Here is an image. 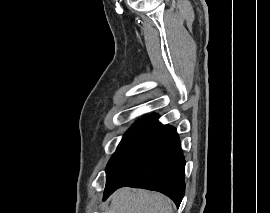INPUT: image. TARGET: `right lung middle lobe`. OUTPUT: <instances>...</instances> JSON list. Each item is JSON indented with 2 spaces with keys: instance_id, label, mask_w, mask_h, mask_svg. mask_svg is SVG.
Here are the masks:
<instances>
[{
  "instance_id": "dd1d6c3e",
  "label": "right lung middle lobe",
  "mask_w": 270,
  "mask_h": 213,
  "mask_svg": "<svg viewBox=\"0 0 270 213\" xmlns=\"http://www.w3.org/2000/svg\"><path fill=\"white\" fill-rule=\"evenodd\" d=\"M147 118V117H146ZM145 118V119H146ZM144 119V120H145ZM144 120H140L137 123H135L128 131L127 133L124 135L122 141L120 142L119 146L117 147L116 152L113 154V156L111 157V159L109 160L107 166L109 165V163L114 159V157L117 155L118 151L127 143V141L130 139V137L133 135V133L135 132V130L139 127V125L144 121Z\"/></svg>"
}]
</instances>
